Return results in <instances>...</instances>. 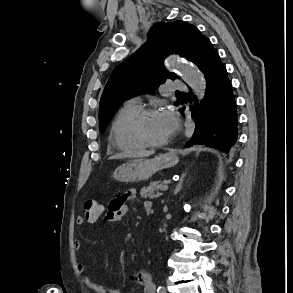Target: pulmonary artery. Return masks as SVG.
Segmentation results:
<instances>
[{
	"mask_svg": "<svg viewBox=\"0 0 293 293\" xmlns=\"http://www.w3.org/2000/svg\"><path fill=\"white\" fill-rule=\"evenodd\" d=\"M169 88H170L171 90H183V89H185L186 87H185L184 84H182V83H180V82H176V81H174V82H171V83L169 84ZM127 103H129V104H134V105H139V103H140V98L136 97V98L130 99Z\"/></svg>",
	"mask_w": 293,
	"mask_h": 293,
	"instance_id": "obj_1",
	"label": "pulmonary artery"
}]
</instances>
